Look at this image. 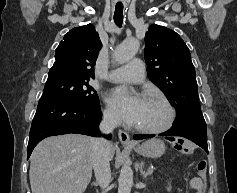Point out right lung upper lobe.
<instances>
[{
  "mask_svg": "<svg viewBox=\"0 0 237 193\" xmlns=\"http://www.w3.org/2000/svg\"><path fill=\"white\" fill-rule=\"evenodd\" d=\"M102 44L93 25L70 30L55 50V62L49 73L94 78L93 65Z\"/></svg>",
  "mask_w": 237,
  "mask_h": 193,
  "instance_id": "cb5924a9",
  "label": "right lung upper lobe"
}]
</instances>
